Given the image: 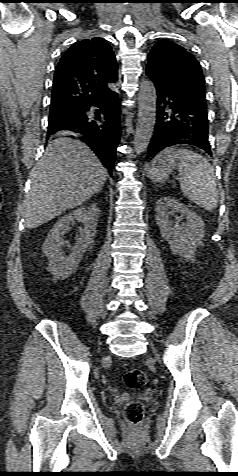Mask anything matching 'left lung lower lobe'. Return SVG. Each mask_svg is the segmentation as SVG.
I'll return each mask as SVG.
<instances>
[{
    "label": "left lung lower lobe",
    "instance_id": "0a47b994",
    "mask_svg": "<svg viewBox=\"0 0 238 476\" xmlns=\"http://www.w3.org/2000/svg\"><path fill=\"white\" fill-rule=\"evenodd\" d=\"M155 88L157 113L148 157L153 158L165 148L175 145L197 147L212 156L207 107L186 102L157 85Z\"/></svg>",
    "mask_w": 238,
    "mask_h": 476
}]
</instances>
